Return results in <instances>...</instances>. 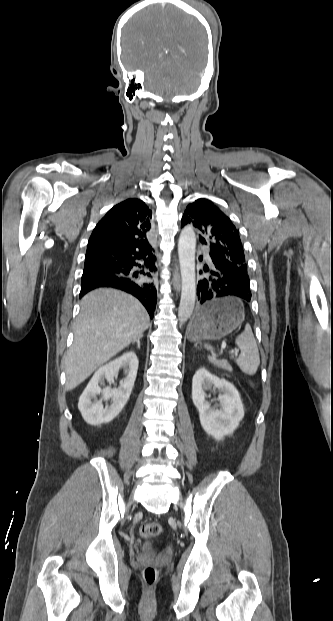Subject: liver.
I'll use <instances>...</instances> for the list:
<instances>
[{
  "instance_id": "6515ba94",
  "label": "liver",
  "mask_w": 333,
  "mask_h": 621,
  "mask_svg": "<svg viewBox=\"0 0 333 621\" xmlns=\"http://www.w3.org/2000/svg\"><path fill=\"white\" fill-rule=\"evenodd\" d=\"M148 327V313L136 298L111 288L86 294L64 357L66 389L76 388Z\"/></svg>"
}]
</instances>
